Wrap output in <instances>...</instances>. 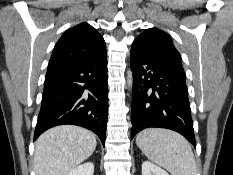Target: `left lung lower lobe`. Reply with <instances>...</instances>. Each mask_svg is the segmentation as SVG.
<instances>
[{
	"label": "left lung lower lobe",
	"instance_id": "obj_1",
	"mask_svg": "<svg viewBox=\"0 0 233 175\" xmlns=\"http://www.w3.org/2000/svg\"><path fill=\"white\" fill-rule=\"evenodd\" d=\"M130 60L131 138L145 128H167L180 133L196 147L184 71L152 58L135 44Z\"/></svg>",
	"mask_w": 233,
	"mask_h": 175
}]
</instances>
